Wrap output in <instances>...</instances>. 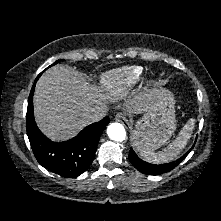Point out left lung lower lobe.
I'll return each instance as SVG.
<instances>
[{
    "label": "left lung lower lobe",
    "instance_id": "0a47b994",
    "mask_svg": "<svg viewBox=\"0 0 221 221\" xmlns=\"http://www.w3.org/2000/svg\"><path fill=\"white\" fill-rule=\"evenodd\" d=\"M191 150L192 148L186 154H184L181 158L177 159L176 161L166 163V164H160V165L150 164L141 160L133 151V149H130L128 158L130 162L132 163V165L141 173L148 174V175H159V174H163L174 169L178 164H180L185 159V157L188 155V153ZM154 168H159V169L155 170Z\"/></svg>",
    "mask_w": 221,
    "mask_h": 221
}]
</instances>
